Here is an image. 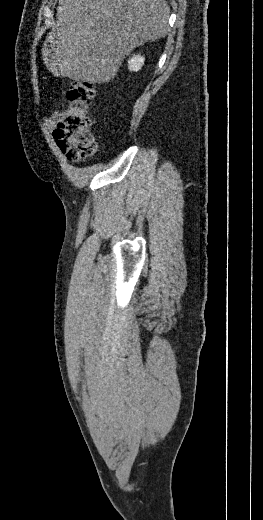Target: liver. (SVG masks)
Returning a JSON list of instances; mask_svg holds the SVG:
<instances>
[{"label": "liver", "mask_w": 263, "mask_h": 520, "mask_svg": "<svg viewBox=\"0 0 263 520\" xmlns=\"http://www.w3.org/2000/svg\"><path fill=\"white\" fill-rule=\"evenodd\" d=\"M169 15L166 0H59L44 64L54 76L108 83L136 47L167 35Z\"/></svg>", "instance_id": "obj_1"}]
</instances>
